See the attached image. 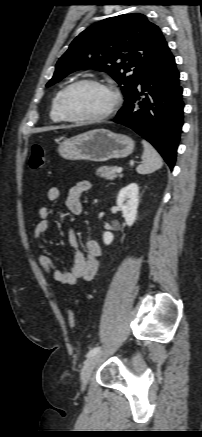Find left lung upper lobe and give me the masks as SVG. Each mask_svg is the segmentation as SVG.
Returning a JSON list of instances; mask_svg holds the SVG:
<instances>
[{
    "label": "left lung upper lobe",
    "instance_id": "left-lung-upper-lobe-1",
    "mask_svg": "<svg viewBox=\"0 0 202 437\" xmlns=\"http://www.w3.org/2000/svg\"><path fill=\"white\" fill-rule=\"evenodd\" d=\"M167 48L159 27L144 15L133 13L107 18L73 40L46 86L76 70L93 68L108 72L121 86L126 101Z\"/></svg>",
    "mask_w": 202,
    "mask_h": 437
}]
</instances>
